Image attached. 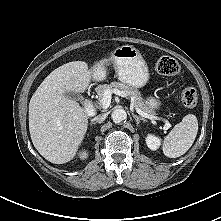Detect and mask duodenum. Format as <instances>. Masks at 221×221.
Wrapping results in <instances>:
<instances>
[{"instance_id": "duodenum-1", "label": "duodenum", "mask_w": 221, "mask_h": 221, "mask_svg": "<svg viewBox=\"0 0 221 221\" xmlns=\"http://www.w3.org/2000/svg\"><path fill=\"white\" fill-rule=\"evenodd\" d=\"M84 106L88 114H92L94 112V105L90 98L85 101Z\"/></svg>"}]
</instances>
